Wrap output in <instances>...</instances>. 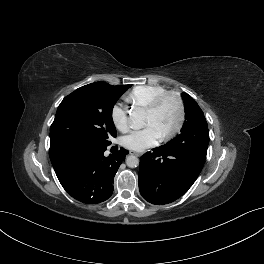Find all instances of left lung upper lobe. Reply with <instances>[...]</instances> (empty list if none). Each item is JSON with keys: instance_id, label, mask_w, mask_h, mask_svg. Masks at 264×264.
<instances>
[{"instance_id": "left-lung-upper-lobe-1", "label": "left lung upper lobe", "mask_w": 264, "mask_h": 264, "mask_svg": "<svg viewBox=\"0 0 264 264\" xmlns=\"http://www.w3.org/2000/svg\"><path fill=\"white\" fill-rule=\"evenodd\" d=\"M185 107V123L181 134L167 144H178L186 137L196 136L198 132L208 128L204 114L198 104L187 93H182Z\"/></svg>"}]
</instances>
